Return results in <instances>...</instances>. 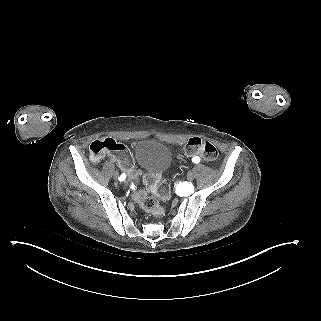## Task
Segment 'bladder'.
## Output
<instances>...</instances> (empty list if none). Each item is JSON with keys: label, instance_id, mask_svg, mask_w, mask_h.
<instances>
[{"label": "bladder", "instance_id": "obj_1", "mask_svg": "<svg viewBox=\"0 0 321 321\" xmlns=\"http://www.w3.org/2000/svg\"><path fill=\"white\" fill-rule=\"evenodd\" d=\"M133 161L145 173L161 175L170 165L171 153L162 143L149 139L141 140L134 146Z\"/></svg>", "mask_w": 321, "mask_h": 321}]
</instances>
